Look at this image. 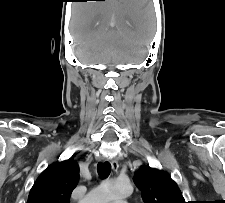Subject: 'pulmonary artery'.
Returning a JSON list of instances; mask_svg holds the SVG:
<instances>
[{
	"label": "pulmonary artery",
	"instance_id": "1",
	"mask_svg": "<svg viewBox=\"0 0 225 203\" xmlns=\"http://www.w3.org/2000/svg\"><path fill=\"white\" fill-rule=\"evenodd\" d=\"M113 203H127L126 201H114Z\"/></svg>",
	"mask_w": 225,
	"mask_h": 203
}]
</instances>
